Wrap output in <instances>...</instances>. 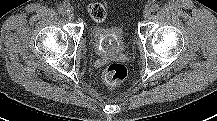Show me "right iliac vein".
Wrapping results in <instances>:
<instances>
[{"label": "right iliac vein", "mask_w": 217, "mask_h": 121, "mask_svg": "<svg viewBox=\"0 0 217 121\" xmlns=\"http://www.w3.org/2000/svg\"><path fill=\"white\" fill-rule=\"evenodd\" d=\"M67 18L71 21L74 20V14L71 11L67 12Z\"/></svg>", "instance_id": "1"}]
</instances>
